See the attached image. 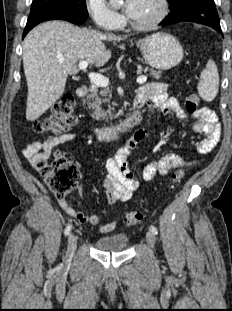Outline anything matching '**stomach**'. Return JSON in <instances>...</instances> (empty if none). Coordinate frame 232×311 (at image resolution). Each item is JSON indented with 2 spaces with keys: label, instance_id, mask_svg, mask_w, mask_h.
<instances>
[{
  "label": "stomach",
  "instance_id": "0dacf381",
  "mask_svg": "<svg viewBox=\"0 0 232 311\" xmlns=\"http://www.w3.org/2000/svg\"><path fill=\"white\" fill-rule=\"evenodd\" d=\"M145 62L158 70H169L183 59L180 42L168 33H155L136 42Z\"/></svg>",
  "mask_w": 232,
  "mask_h": 311
}]
</instances>
